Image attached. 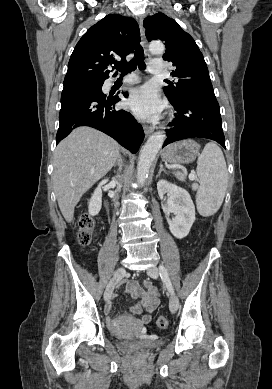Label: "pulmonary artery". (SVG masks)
I'll use <instances>...</instances> for the list:
<instances>
[{"instance_id": "pulmonary-artery-1", "label": "pulmonary artery", "mask_w": 272, "mask_h": 389, "mask_svg": "<svg viewBox=\"0 0 272 389\" xmlns=\"http://www.w3.org/2000/svg\"><path fill=\"white\" fill-rule=\"evenodd\" d=\"M148 71L152 74H160L163 73V61L160 59H153L149 62ZM138 81V77L136 75H129L124 78L125 83H136Z\"/></svg>"}]
</instances>
